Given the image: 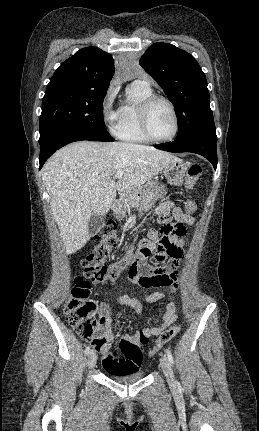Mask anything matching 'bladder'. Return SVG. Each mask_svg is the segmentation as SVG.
Segmentation results:
<instances>
[{
    "label": "bladder",
    "instance_id": "31cf9c89",
    "mask_svg": "<svg viewBox=\"0 0 259 431\" xmlns=\"http://www.w3.org/2000/svg\"><path fill=\"white\" fill-rule=\"evenodd\" d=\"M107 374L110 379L123 384L133 383L145 377V373L143 371H130V372L107 371Z\"/></svg>",
    "mask_w": 259,
    "mask_h": 431
}]
</instances>
